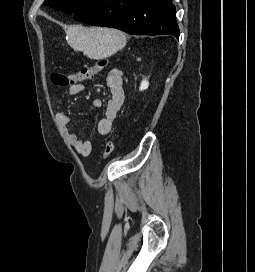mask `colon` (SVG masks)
I'll return each instance as SVG.
<instances>
[{
    "label": "colon",
    "mask_w": 255,
    "mask_h": 272,
    "mask_svg": "<svg viewBox=\"0 0 255 272\" xmlns=\"http://www.w3.org/2000/svg\"><path fill=\"white\" fill-rule=\"evenodd\" d=\"M106 65V60H99L92 66L82 67L75 73L66 74L63 72H53L51 74V80L58 86H70L73 84L81 83L88 79L93 78L98 72H100ZM115 150V143L112 139H109L103 149V160L108 159Z\"/></svg>",
    "instance_id": "colon-1"
}]
</instances>
